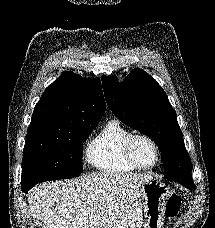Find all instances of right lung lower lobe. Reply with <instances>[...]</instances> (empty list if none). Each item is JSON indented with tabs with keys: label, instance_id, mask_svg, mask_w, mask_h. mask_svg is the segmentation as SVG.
Segmentation results:
<instances>
[{
	"label": "right lung lower lobe",
	"instance_id": "right-lung-lower-lobe-1",
	"mask_svg": "<svg viewBox=\"0 0 215 228\" xmlns=\"http://www.w3.org/2000/svg\"><path fill=\"white\" fill-rule=\"evenodd\" d=\"M21 187H22V191L25 192V193H27V191L29 190V189H27V187H25V186H22V185H21Z\"/></svg>",
	"mask_w": 215,
	"mask_h": 228
}]
</instances>
